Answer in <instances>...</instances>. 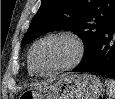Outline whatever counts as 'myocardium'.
Segmentation results:
<instances>
[{
  "mask_svg": "<svg viewBox=\"0 0 115 99\" xmlns=\"http://www.w3.org/2000/svg\"><path fill=\"white\" fill-rule=\"evenodd\" d=\"M52 38H67L71 40L75 46V50H76L75 55L68 64L61 66L57 69H54L52 71H49V72H42L36 67L34 63V52L39 44H41L42 42L46 40L52 39ZM85 51H86L85 43L83 39L76 33L69 31V30L54 31V32L45 34L44 36L40 37L33 43V45L31 46L29 50L28 63H29L31 70L36 75L42 76V77H51V76L57 75L59 73L68 71L76 67L82 61L85 55Z\"/></svg>",
  "mask_w": 115,
  "mask_h": 99,
  "instance_id": "myocardium-1",
  "label": "myocardium"
}]
</instances>
